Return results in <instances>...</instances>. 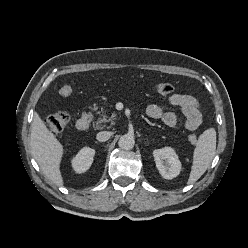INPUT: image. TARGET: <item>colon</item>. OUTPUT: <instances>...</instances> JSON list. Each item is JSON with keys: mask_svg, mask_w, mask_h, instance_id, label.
<instances>
[{"mask_svg": "<svg viewBox=\"0 0 248 248\" xmlns=\"http://www.w3.org/2000/svg\"><path fill=\"white\" fill-rule=\"evenodd\" d=\"M155 90L160 95H170L173 92L174 88L172 84L163 82V83H158L155 86ZM59 93L63 97L70 96L72 94L71 85L69 84L63 85L60 88ZM68 123H69V115L66 112H62V111L51 114L45 120L46 127L54 135H57L60 132H62L67 127ZM188 140L191 144H196L197 136L195 134H190L188 136Z\"/></svg>", "mask_w": 248, "mask_h": 248, "instance_id": "colon-1", "label": "colon"}]
</instances>
